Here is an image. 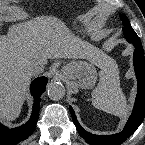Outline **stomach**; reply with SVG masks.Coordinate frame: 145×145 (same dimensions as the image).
Returning a JSON list of instances; mask_svg holds the SVG:
<instances>
[{
    "instance_id": "0dacf381",
    "label": "stomach",
    "mask_w": 145,
    "mask_h": 145,
    "mask_svg": "<svg viewBox=\"0 0 145 145\" xmlns=\"http://www.w3.org/2000/svg\"><path fill=\"white\" fill-rule=\"evenodd\" d=\"M62 71L66 80H71L85 88H91L95 82V69L85 62H71L66 64Z\"/></svg>"
}]
</instances>
